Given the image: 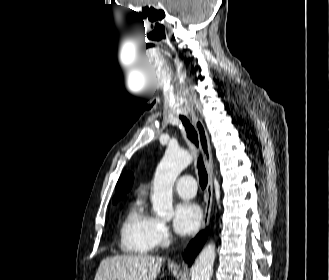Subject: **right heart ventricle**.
<instances>
[{"instance_id": "right-heart-ventricle-1", "label": "right heart ventricle", "mask_w": 329, "mask_h": 280, "mask_svg": "<svg viewBox=\"0 0 329 280\" xmlns=\"http://www.w3.org/2000/svg\"><path fill=\"white\" fill-rule=\"evenodd\" d=\"M156 219L150 215L141 198L130 206L121 227V248L126 253L148 254L155 247L154 226Z\"/></svg>"}]
</instances>
